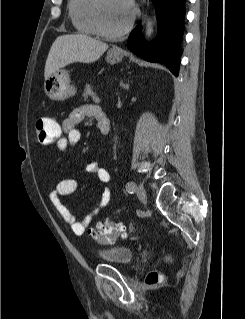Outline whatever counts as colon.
Wrapping results in <instances>:
<instances>
[{
  "mask_svg": "<svg viewBox=\"0 0 245 319\" xmlns=\"http://www.w3.org/2000/svg\"><path fill=\"white\" fill-rule=\"evenodd\" d=\"M36 137L39 143L51 145L55 143L62 132L59 123L50 116L40 117L35 125ZM90 235L102 243H112L119 237H126V229L121 224L103 220L96 224V227L89 230ZM160 280L158 273L152 272L148 276L149 284H156Z\"/></svg>",
  "mask_w": 245,
  "mask_h": 319,
  "instance_id": "1",
  "label": "colon"
}]
</instances>
